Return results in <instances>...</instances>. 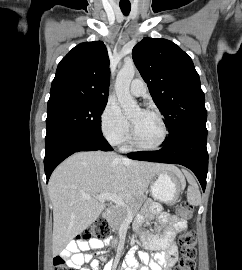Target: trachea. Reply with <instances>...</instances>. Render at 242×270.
<instances>
[{"mask_svg":"<svg viewBox=\"0 0 242 270\" xmlns=\"http://www.w3.org/2000/svg\"><path fill=\"white\" fill-rule=\"evenodd\" d=\"M120 9H121L122 13H123L125 16H127V15L130 13L131 7H130V6H123V5H121V6H120Z\"/></svg>","mask_w":242,"mask_h":270,"instance_id":"obj_1","label":"trachea"}]
</instances>
